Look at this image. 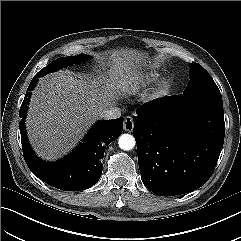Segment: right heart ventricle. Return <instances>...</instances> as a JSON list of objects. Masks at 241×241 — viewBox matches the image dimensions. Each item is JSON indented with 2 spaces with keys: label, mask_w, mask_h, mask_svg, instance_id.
<instances>
[{
  "label": "right heart ventricle",
  "mask_w": 241,
  "mask_h": 241,
  "mask_svg": "<svg viewBox=\"0 0 241 241\" xmlns=\"http://www.w3.org/2000/svg\"><path fill=\"white\" fill-rule=\"evenodd\" d=\"M158 78V75L157 74H150L146 77V80L147 82H151V81H155L156 79Z\"/></svg>",
  "instance_id": "e07e8e85"
}]
</instances>
